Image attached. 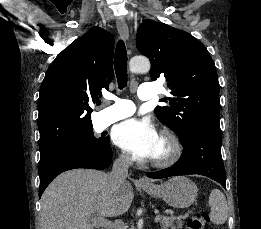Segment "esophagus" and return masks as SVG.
I'll list each match as a JSON object with an SVG mask.
<instances>
[{
	"instance_id": "1",
	"label": "esophagus",
	"mask_w": 261,
	"mask_h": 229,
	"mask_svg": "<svg viewBox=\"0 0 261 229\" xmlns=\"http://www.w3.org/2000/svg\"><path fill=\"white\" fill-rule=\"evenodd\" d=\"M116 26H117L119 34L123 37V39L128 40L129 39V29H128L126 21L123 18L119 17L116 20ZM138 182L141 185H151L152 184L151 181H148V179H145L144 177H140Z\"/></svg>"
}]
</instances>
